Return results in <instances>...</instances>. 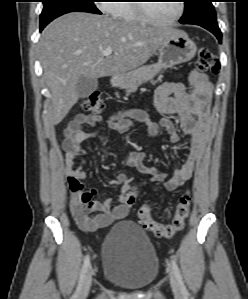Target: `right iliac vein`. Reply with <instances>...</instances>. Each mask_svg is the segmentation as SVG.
Segmentation results:
<instances>
[{
  "mask_svg": "<svg viewBox=\"0 0 248 299\" xmlns=\"http://www.w3.org/2000/svg\"><path fill=\"white\" fill-rule=\"evenodd\" d=\"M94 270L92 268H90V270L87 272L84 282L82 284V288L80 291V299H84L91 287L92 284V276H93Z\"/></svg>",
  "mask_w": 248,
  "mask_h": 299,
  "instance_id": "obj_1",
  "label": "right iliac vein"
}]
</instances>
